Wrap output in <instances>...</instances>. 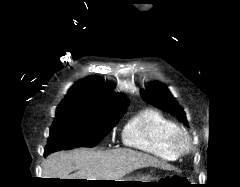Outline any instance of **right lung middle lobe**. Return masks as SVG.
<instances>
[{"label": "right lung middle lobe", "mask_w": 240, "mask_h": 187, "mask_svg": "<svg viewBox=\"0 0 240 187\" xmlns=\"http://www.w3.org/2000/svg\"><path fill=\"white\" fill-rule=\"evenodd\" d=\"M124 112L125 109L114 112H90L57 108L44 155L61 149L94 147Z\"/></svg>", "instance_id": "obj_1"}]
</instances>
